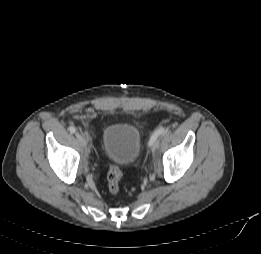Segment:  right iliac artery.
<instances>
[{"instance_id": "right-iliac-artery-1", "label": "right iliac artery", "mask_w": 261, "mask_h": 254, "mask_svg": "<svg viewBox=\"0 0 261 254\" xmlns=\"http://www.w3.org/2000/svg\"><path fill=\"white\" fill-rule=\"evenodd\" d=\"M69 131H70L71 133H75V132H76V128H75L74 126H70V127H69Z\"/></svg>"}]
</instances>
